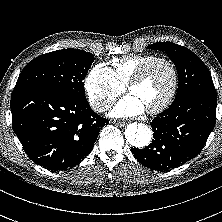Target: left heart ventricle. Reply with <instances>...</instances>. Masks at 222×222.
<instances>
[{
  "mask_svg": "<svg viewBox=\"0 0 222 222\" xmlns=\"http://www.w3.org/2000/svg\"><path fill=\"white\" fill-rule=\"evenodd\" d=\"M172 73L163 63L154 64L138 84L131 87L130 93L137 96L146 109L160 104L170 91Z\"/></svg>",
  "mask_w": 222,
  "mask_h": 222,
  "instance_id": "left-heart-ventricle-1",
  "label": "left heart ventricle"
}]
</instances>
